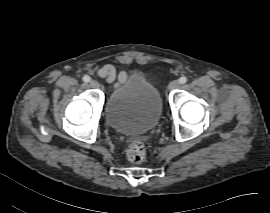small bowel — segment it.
<instances>
[{
  "label": "small bowel",
  "instance_id": "obj_1",
  "mask_svg": "<svg viewBox=\"0 0 270 213\" xmlns=\"http://www.w3.org/2000/svg\"><path fill=\"white\" fill-rule=\"evenodd\" d=\"M97 75L103 79H105L108 83H113L116 78L120 81L124 79V74L121 73L118 75L117 70L114 65L106 64L97 69Z\"/></svg>",
  "mask_w": 270,
  "mask_h": 213
}]
</instances>
